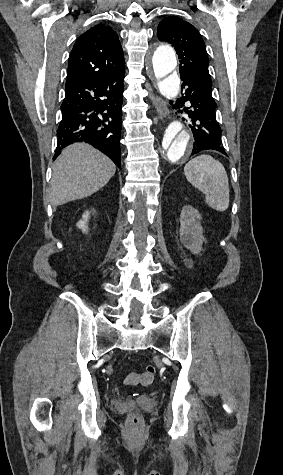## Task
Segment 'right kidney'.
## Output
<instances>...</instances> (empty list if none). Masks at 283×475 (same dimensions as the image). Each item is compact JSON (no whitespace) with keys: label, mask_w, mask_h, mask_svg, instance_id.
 Returning a JSON list of instances; mask_svg holds the SVG:
<instances>
[{"label":"right kidney","mask_w":283,"mask_h":475,"mask_svg":"<svg viewBox=\"0 0 283 475\" xmlns=\"http://www.w3.org/2000/svg\"><path fill=\"white\" fill-rule=\"evenodd\" d=\"M88 218H89V212H85V214H83V220H80V222H78L77 224L78 228H81L82 232H86L87 230L86 222Z\"/></svg>","instance_id":"1"}]
</instances>
